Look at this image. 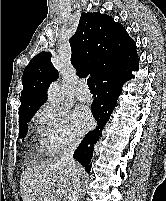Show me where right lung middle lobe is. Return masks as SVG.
Listing matches in <instances>:
<instances>
[{"label":"right lung middle lobe","mask_w":166,"mask_h":201,"mask_svg":"<svg viewBox=\"0 0 166 201\" xmlns=\"http://www.w3.org/2000/svg\"><path fill=\"white\" fill-rule=\"evenodd\" d=\"M34 114L35 113H31V114H28V115H25V116L19 118V124H20L19 137L20 138H23L27 134L28 122L31 120V118L33 117Z\"/></svg>","instance_id":"obj_1"}]
</instances>
